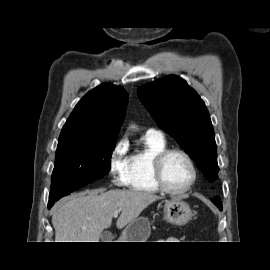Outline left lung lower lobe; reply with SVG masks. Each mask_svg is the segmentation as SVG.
Listing matches in <instances>:
<instances>
[{
  "instance_id": "left-lung-lower-lobe-1",
  "label": "left lung lower lobe",
  "mask_w": 270,
  "mask_h": 270,
  "mask_svg": "<svg viewBox=\"0 0 270 270\" xmlns=\"http://www.w3.org/2000/svg\"><path fill=\"white\" fill-rule=\"evenodd\" d=\"M212 201L220 210H222V203L219 198L213 199Z\"/></svg>"
}]
</instances>
